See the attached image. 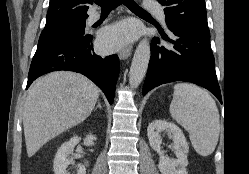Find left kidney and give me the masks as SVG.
I'll use <instances>...</instances> for the list:
<instances>
[{
	"label": "left kidney",
	"mask_w": 249,
	"mask_h": 174,
	"mask_svg": "<svg viewBox=\"0 0 249 174\" xmlns=\"http://www.w3.org/2000/svg\"><path fill=\"white\" fill-rule=\"evenodd\" d=\"M166 131L173 140V149L177 159H169L161 149L162 138L160 133ZM149 144L159 155L158 168L161 174H188L187 154L189 152L188 143L182 130L172 122L165 120H155L151 122L147 129Z\"/></svg>",
	"instance_id": "1"
}]
</instances>
